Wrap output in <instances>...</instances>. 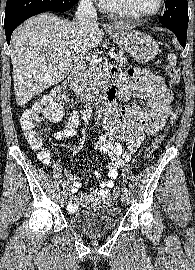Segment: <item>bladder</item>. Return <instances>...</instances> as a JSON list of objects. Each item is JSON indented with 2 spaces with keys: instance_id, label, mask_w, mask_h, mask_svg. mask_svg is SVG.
Here are the masks:
<instances>
[{
  "instance_id": "obj_1",
  "label": "bladder",
  "mask_w": 195,
  "mask_h": 270,
  "mask_svg": "<svg viewBox=\"0 0 195 270\" xmlns=\"http://www.w3.org/2000/svg\"><path fill=\"white\" fill-rule=\"evenodd\" d=\"M71 224L88 235H101L113 230L119 223L120 212L112 204H94L76 211Z\"/></svg>"
}]
</instances>
